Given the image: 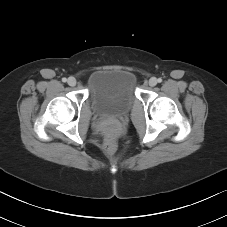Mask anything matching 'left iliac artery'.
I'll return each instance as SVG.
<instances>
[{
	"mask_svg": "<svg viewBox=\"0 0 227 227\" xmlns=\"http://www.w3.org/2000/svg\"><path fill=\"white\" fill-rule=\"evenodd\" d=\"M157 81H158L159 83H161V82H162V79H161V78H158Z\"/></svg>",
	"mask_w": 227,
	"mask_h": 227,
	"instance_id": "left-iliac-artery-1",
	"label": "left iliac artery"
}]
</instances>
